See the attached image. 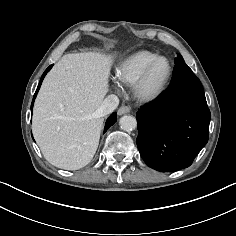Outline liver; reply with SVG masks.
<instances>
[{
  "label": "liver",
  "mask_w": 236,
  "mask_h": 236,
  "mask_svg": "<svg viewBox=\"0 0 236 236\" xmlns=\"http://www.w3.org/2000/svg\"><path fill=\"white\" fill-rule=\"evenodd\" d=\"M109 71L108 57L68 54L45 77L34 104L32 131L52 165L77 170L94 157L104 121L98 109L108 91Z\"/></svg>",
  "instance_id": "1"
}]
</instances>
